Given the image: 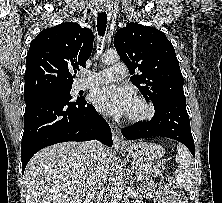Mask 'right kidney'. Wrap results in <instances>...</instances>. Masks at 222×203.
I'll list each match as a JSON object with an SVG mask.
<instances>
[{
  "label": "right kidney",
  "instance_id": "obj_1",
  "mask_svg": "<svg viewBox=\"0 0 222 203\" xmlns=\"http://www.w3.org/2000/svg\"><path fill=\"white\" fill-rule=\"evenodd\" d=\"M71 203H81V200H74Z\"/></svg>",
  "mask_w": 222,
  "mask_h": 203
}]
</instances>
